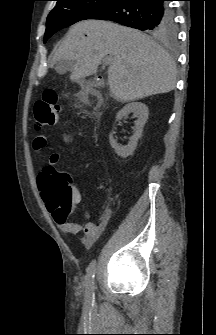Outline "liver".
Returning <instances> with one entry per match:
<instances>
[{
    "mask_svg": "<svg viewBox=\"0 0 216 335\" xmlns=\"http://www.w3.org/2000/svg\"><path fill=\"white\" fill-rule=\"evenodd\" d=\"M109 55V56H108ZM109 62L108 84L122 103L170 92L176 85V65L170 55L140 31L101 20L73 25L56 49L53 64L71 70L70 79L81 83ZM66 70H63L64 67Z\"/></svg>",
    "mask_w": 216,
    "mask_h": 335,
    "instance_id": "obj_1",
    "label": "liver"
}]
</instances>
